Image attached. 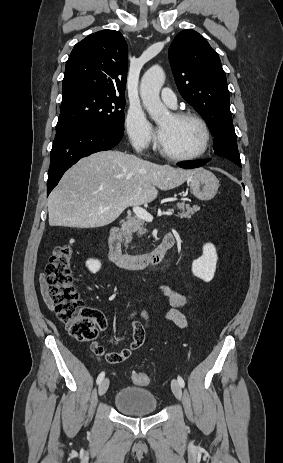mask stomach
<instances>
[{"instance_id": "0dacf381", "label": "stomach", "mask_w": 283, "mask_h": 463, "mask_svg": "<svg viewBox=\"0 0 283 463\" xmlns=\"http://www.w3.org/2000/svg\"><path fill=\"white\" fill-rule=\"evenodd\" d=\"M191 193L202 201H208L214 198L219 188L217 177L206 169L198 171L189 179Z\"/></svg>"}]
</instances>
